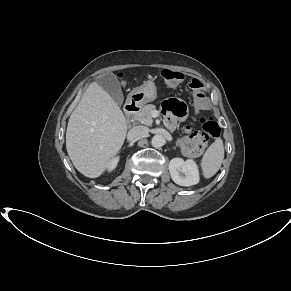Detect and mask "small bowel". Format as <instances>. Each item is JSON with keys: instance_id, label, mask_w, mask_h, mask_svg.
Returning a JSON list of instances; mask_svg holds the SVG:
<instances>
[{"instance_id": "c3829d8e", "label": "small bowel", "mask_w": 291, "mask_h": 291, "mask_svg": "<svg viewBox=\"0 0 291 291\" xmlns=\"http://www.w3.org/2000/svg\"><path fill=\"white\" fill-rule=\"evenodd\" d=\"M165 112L168 124L171 128L175 126V116H180L184 113V104L178 100H169L165 105Z\"/></svg>"}]
</instances>
